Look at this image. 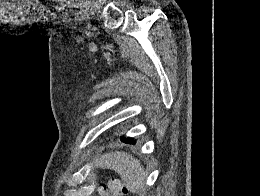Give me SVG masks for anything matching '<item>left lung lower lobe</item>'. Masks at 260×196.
I'll use <instances>...</instances> for the list:
<instances>
[{
	"instance_id": "1",
	"label": "left lung lower lobe",
	"mask_w": 260,
	"mask_h": 196,
	"mask_svg": "<svg viewBox=\"0 0 260 196\" xmlns=\"http://www.w3.org/2000/svg\"><path fill=\"white\" fill-rule=\"evenodd\" d=\"M122 141L125 142V143H129V144H135V141L132 138L123 137Z\"/></svg>"
}]
</instances>
